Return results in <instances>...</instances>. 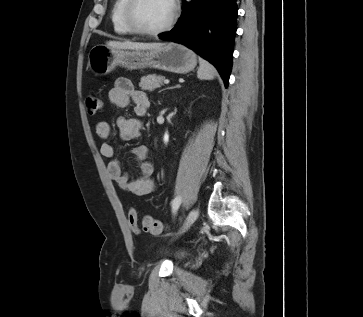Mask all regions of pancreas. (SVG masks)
<instances>
[{
	"mask_svg": "<svg viewBox=\"0 0 363 317\" xmlns=\"http://www.w3.org/2000/svg\"><path fill=\"white\" fill-rule=\"evenodd\" d=\"M164 77L161 75L149 74L147 76H143L139 83V87L142 90L153 91L156 88H159L163 85Z\"/></svg>",
	"mask_w": 363,
	"mask_h": 317,
	"instance_id": "1",
	"label": "pancreas"
}]
</instances>
